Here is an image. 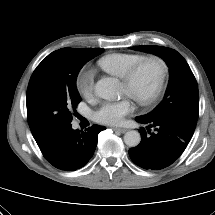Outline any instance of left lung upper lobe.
I'll list each match as a JSON object with an SVG mask.
<instances>
[{"label": "left lung upper lobe", "instance_id": "left-lung-upper-lobe-1", "mask_svg": "<svg viewBox=\"0 0 215 215\" xmlns=\"http://www.w3.org/2000/svg\"><path fill=\"white\" fill-rule=\"evenodd\" d=\"M134 49L162 57L170 67V80L162 102L148 118H172L195 129L199 112L197 81L186 60L175 50L161 46H135Z\"/></svg>", "mask_w": 215, "mask_h": 215}]
</instances>
